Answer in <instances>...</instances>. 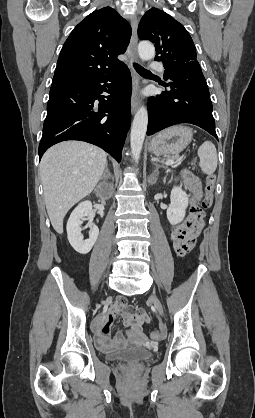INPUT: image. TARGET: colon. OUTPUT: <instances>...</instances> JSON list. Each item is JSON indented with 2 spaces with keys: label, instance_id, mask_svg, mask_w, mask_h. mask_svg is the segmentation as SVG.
<instances>
[{
  "label": "colon",
  "instance_id": "colon-1",
  "mask_svg": "<svg viewBox=\"0 0 255 418\" xmlns=\"http://www.w3.org/2000/svg\"><path fill=\"white\" fill-rule=\"evenodd\" d=\"M215 176H209L205 184V195L201 205H193L190 208L189 216L178 228H198L199 233L203 228L204 224V210L212 206L213 203V194L215 189ZM191 250V249H190ZM153 340H159L161 338V333L154 331L151 334Z\"/></svg>",
  "mask_w": 255,
  "mask_h": 418
}]
</instances>
